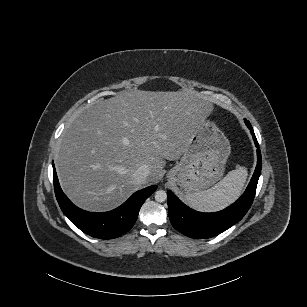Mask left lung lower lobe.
I'll list each match as a JSON object with an SVG mask.
<instances>
[{
  "label": "left lung lower lobe",
  "mask_w": 307,
  "mask_h": 307,
  "mask_svg": "<svg viewBox=\"0 0 307 307\" xmlns=\"http://www.w3.org/2000/svg\"><path fill=\"white\" fill-rule=\"evenodd\" d=\"M251 131L256 147L259 146L251 124H246ZM261 152L257 149V166L253 177L243 195L231 206L215 213L197 212L183 204L171 191H167L169 218L172 226L191 238H210L227 230L240 221L249 210L256 192L261 173Z\"/></svg>",
  "instance_id": "left-lung-lower-lobe-1"
}]
</instances>
